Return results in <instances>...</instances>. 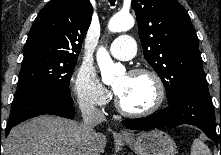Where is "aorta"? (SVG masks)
<instances>
[{"label":"aorta","instance_id":"1","mask_svg":"<svg viewBox=\"0 0 221 155\" xmlns=\"http://www.w3.org/2000/svg\"><path fill=\"white\" fill-rule=\"evenodd\" d=\"M133 26L134 19L129 14H116L110 19L108 24V28L111 32H124L131 29ZM96 58L101 71L102 81L105 84L111 83L115 79L120 65L113 62L109 53L103 47L98 49Z\"/></svg>","mask_w":221,"mask_h":155}]
</instances>
